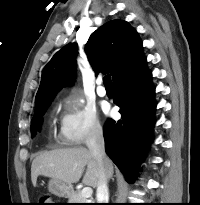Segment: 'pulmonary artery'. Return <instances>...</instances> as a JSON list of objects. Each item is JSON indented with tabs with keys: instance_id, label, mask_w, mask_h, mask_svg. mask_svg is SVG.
<instances>
[{
	"instance_id": "obj_1",
	"label": "pulmonary artery",
	"mask_w": 200,
	"mask_h": 205,
	"mask_svg": "<svg viewBox=\"0 0 200 205\" xmlns=\"http://www.w3.org/2000/svg\"><path fill=\"white\" fill-rule=\"evenodd\" d=\"M97 94L100 96V97H105L107 92L105 90V88L103 87L102 85V81H98V86H97Z\"/></svg>"
}]
</instances>
